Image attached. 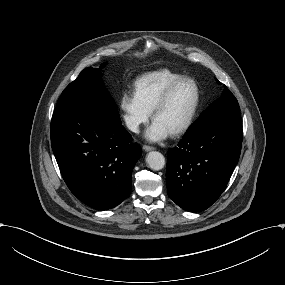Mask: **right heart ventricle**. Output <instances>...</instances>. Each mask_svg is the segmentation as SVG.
Returning a JSON list of instances; mask_svg holds the SVG:
<instances>
[{"label": "right heart ventricle", "mask_w": 285, "mask_h": 285, "mask_svg": "<svg viewBox=\"0 0 285 285\" xmlns=\"http://www.w3.org/2000/svg\"><path fill=\"white\" fill-rule=\"evenodd\" d=\"M183 75L167 69L150 72L142 76L135 83V90L149 111H152L165 90Z\"/></svg>", "instance_id": "e07e8e85"}]
</instances>
